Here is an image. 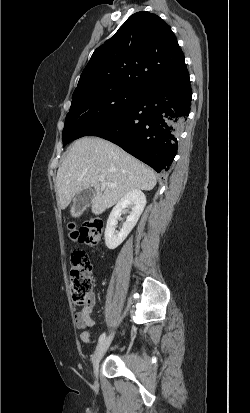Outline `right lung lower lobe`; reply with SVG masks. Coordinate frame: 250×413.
Segmentation results:
<instances>
[{"instance_id": "1", "label": "right lung lower lobe", "mask_w": 250, "mask_h": 413, "mask_svg": "<svg viewBox=\"0 0 250 413\" xmlns=\"http://www.w3.org/2000/svg\"><path fill=\"white\" fill-rule=\"evenodd\" d=\"M191 98L189 74L179 82L153 84L140 90L120 114L86 136L109 140L158 173L167 171L177 153Z\"/></svg>"}]
</instances>
